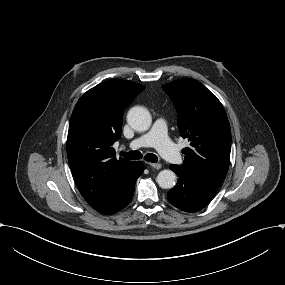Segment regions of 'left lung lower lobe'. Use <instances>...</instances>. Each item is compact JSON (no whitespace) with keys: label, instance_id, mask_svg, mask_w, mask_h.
I'll use <instances>...</instances> for the list:
<instances>
[{"label":"left lung lower lobe","instance_id":"obj_1","mask_svg":"<svg viewBox=\"0 0 285 285\" xmlns=\"http://www.w3.org/2000/svg\"><path fill=\"white\" fill-rule=\"evenodd\" d=\"M170 169L179 180L168 192V200L182 211L193 213L203 209L217 191L183 173L176 165H170Z\"/></svg>","mask_w":285,"mask_h":285}]
</instances>
